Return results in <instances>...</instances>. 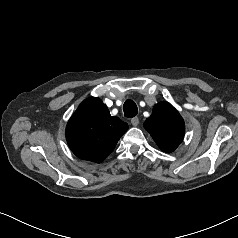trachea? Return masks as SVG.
<instances>
[{
    "mask_svg": "<svg viewBox=\"0 0 238 238\" xmlns=\"http://www.w3.org/2000/svg\"><path fill=\"white\" fill-rule=\"evenodd\" d=\"M124 115L127 118H132L137 115V105L132 100H126L123 105Z\"/></svg>",
    "mask_w": 238,
    "mask_h": 238,
    "instance_id": "obj_1",
    "label": "trachea"
}]
</instances>
